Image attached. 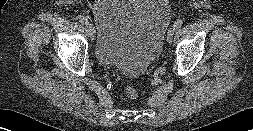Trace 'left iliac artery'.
<instances>
[{"label": "left iliac artery", "instance_id": "1", "mask_svg": "<svg viewBox=\"0 0 253 131\" xmlns=\"http://www.w3.org/2000/svg\"><path fill=\"white\" fill-rule=\"evenodd\" d=\"M182 24H183V20L182 19H178V20L175 21V23L173 24V26L176 29H178V28H180L182 26Z\"/></svg>", "mask_w": 253, "mask_h": 131}]
</instances>
